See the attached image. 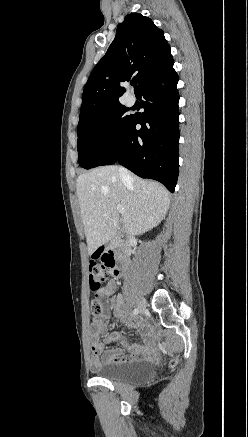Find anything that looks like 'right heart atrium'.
<instances>
[{"mask_svg": "<svg viewBox=\"0 0 248 437\" xmlns=\"http://www.w3.org/2000/svg\"><path fill=\"white\" fill-rule=\"evenodd\" d=\"M105 135H106V134L104 133V134H103V136H102V139H104V138H105Z\"/></svg>", "mask_w": 248, "mask_h": 437, "instance_id": "right-heart-atrium-1", "label": "right heart atrium"}]
</instances>
